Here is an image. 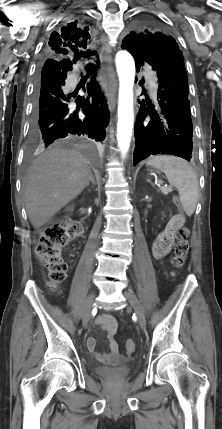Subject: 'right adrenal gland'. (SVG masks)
Here are the masks:
<instances>
[{
	"label": "right adrenal gland",
	"mask_w": 222,
	"mask_h": 429,
	"mask_svg": "<svg viewBox=\"0 0 222 429\" xmlns=\"http://www.w3.org/2000/svg\"><path fill=\"white\" fill-rule=\"evenodd\" d=\"M90 182H91L93 185H96L95 178H94V176H93L92 174H90L89 181H88V182H87V184H86V186H87V187L89 186Z\"/></svg>",
	"instance_id": "obj_1"
}]
</instances>
